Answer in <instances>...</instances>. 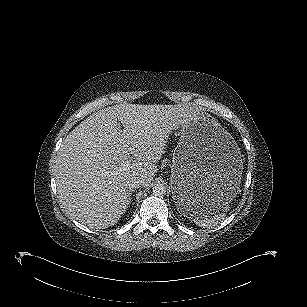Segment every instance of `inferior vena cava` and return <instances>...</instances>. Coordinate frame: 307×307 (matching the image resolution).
<instances>
[{
    "instance_id": "obj_1",
    "label": "inferior vena cava",
    "mask_w": 307,
    "mask_h": 307,
    "mask_svg": "<svg viewBox=\"0 0 307 307\" xmlns=\"http://www.w3.org/2000/svg\"><path fill=\"white\" fill-rule=\"evenodd\" d=\"M143 184V181L139 178H131L128 182H127V188L130 191H133L134 189H137L139 187H141Z\"/></svg>"
}]
</instances>
